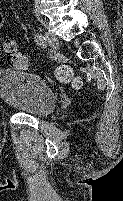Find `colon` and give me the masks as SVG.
I'll return each mask as SVG.
<instances>
[{
	"label": "colon",
	"mask_w": 123,
	"mask_h": 201,
	"mask_svg": "<svg viewBox=\"0 0 123 201\" xmlns=\"http://www.w3.org/2000/svg\"><path fill=\"white\" fill-rule=\"evenodd\" d=\"M3 50L6 54L9 65L17 69H26L29 66V59L26 55L21 53L12 40H6L3 43ZM56 77L59 81L65 83H72L75 87H79L81 82L73 71L66 65H61L56 69Z\"/></svg>",
	"instance_id": "obj_1"
}]
</instances>
